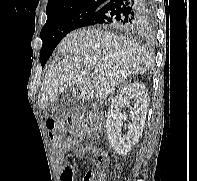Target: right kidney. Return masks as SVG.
<instances>
[{
    "mask_svg": "<svg viewBox=\"0 0 197 181\" xmlns=\"http://www.w3.org/2000/svg\"><path fill=\"white\" fill-rule=\"evenodd\" d=\"M147 90L144 84L133 82L123 86L121 91L112 99L106 121V132L111 147L119 154L126 155L138 142L144 128L147 115ZM128 108L131 122L128 132L122 134V120L125 114L122 110Z\"/></svg>",
    "mask_w": 197,
    "mask_h": 181,
    "instance_id": "1",
    "label": "right kidney"
}]
</instances>
